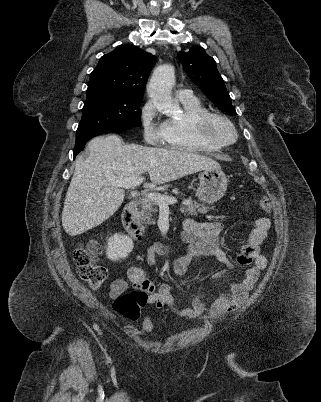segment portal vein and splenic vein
Segmentation results:
<instances>
[{
  "instance_id": "18ae733b",
  "label": "portal vein and splenic vein",
  "mask_w": 321,
  "mask_h": 402,
  "mask_svg": "<svg viewBox=\"0 0 321 402\" xmlns=\"http://www.w3.org/2000/svg\"><path fill=\"white\" fill-rule=\"evenodd\" d=\"M144 180V177L138 176L133 178H122V179H113L111 180L112 185L123 187L125 189H131L140 185ZM131 195L133 197L138 196L139 194L136 191H132ZM147 198L151 199L155 202L159 207H168L170 204H174L177 202V199L174 197H166L159 193L150 192L146 194Z\"/></svg>"
}]
</instances>
